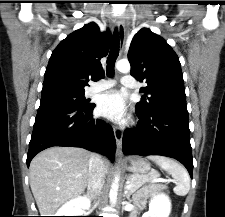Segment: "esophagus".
I'll return each mask as SVG.
<instances>
[{"instance_id":"obj_1","label":"esophagus","mask_w":225,"mask_h":217,"mask_svg":"<svg viewBox=\"0 0 225 217\" xmlns=\"http://www.w3.org/2000/svg\"><path fill=\"white\" fill-rule=\"evenodd\" d=\"M116 25H117V28H118L120 46H123L124 39H125V24H124V21H123L122 17L117 18ZM114 136H115L116 145H117V153L119 154L120 149H121V145H122V137H123L122 129L115 126L114 127Z\"/></svg>"}]
</instances>
